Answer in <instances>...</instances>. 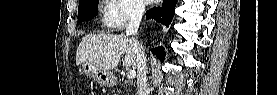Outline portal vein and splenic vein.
<instances>
[{"label": "portal vein and splenic vein", "instance_id": "1", "mask_svg": "<svg viewBox=\"0 0 277 95\" xmlns=\"http://www.w3.org/2000/svg\"><path fill=\"white\" fill-rule=\"evenodd\" d=\"M126 76L128 79H133L136 76V72L134 70H128Z\"/></svg>", "mask_w": 277, "mask_h": 95}]
</instances>
